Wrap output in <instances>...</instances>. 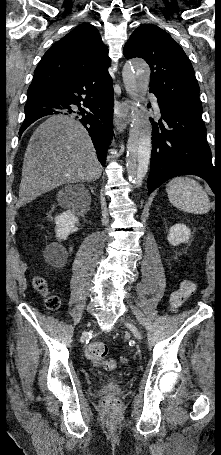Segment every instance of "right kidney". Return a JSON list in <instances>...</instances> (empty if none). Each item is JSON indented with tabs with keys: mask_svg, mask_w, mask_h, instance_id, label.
I'll list each match as a JSON object with an SVG mask.
<instances>
[{
	"mask_svg": "<svg viewBox=\"0 0 221 455\" xmlns=\"http://www.w3.org/2000/svg\"><path fill=\"white\" fill-rule=\"evenodd\" d=\"M77 223L78 218L70 210L57 215L55 217V232L58 240H65L70 234L76 232L78 230V227H76ZM45 255L48 259L56 263L64 262L67 258L65 248L58 243L50 244L46 248Z\"/></svg>",
	"mask_w": 221,
	"mask_h": 455,
	"instance_id": "obj_1",
	"label": "right kidney"
}]
</instances>
